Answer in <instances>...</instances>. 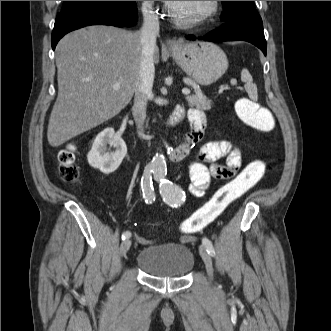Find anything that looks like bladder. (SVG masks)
<instances>
[{"instance_id": "obj_1", "label": "bladder", "mask_w": 331, "mask_h": 331, "mask_svg": "<svg viewBox=\"0 0 331 331\" xmlns=\"http://www.w3.org/2000/svg\"><path fill=\"white\" fill-rule=\"evenodd\" d=\"M136 264L152 278L180 279L193 270L195 258L185 244L162 243L141 250Z\"/></svg>"}]
</instances>
